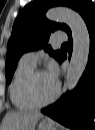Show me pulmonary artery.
<instances>
[{"mask_svg":"<svg viewBox=\"0 0 95 130\" xmlns=\"http://www.w3.org/2000/svg\"><path fill=\"white\" fill-rule=\"evenodd\" d=\"M52 39L53 42H63L66 39V34L63 31H57L53 34ZM21 60L35 66L36 53L33 51L27 52L21 57Z\"/></svg>","mask_w":95,"mask_h":130,"instance_id":"obj_1","label":"pulmonary artery"}]
</instances>
